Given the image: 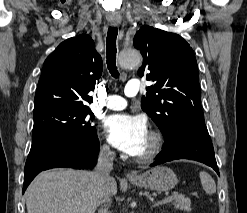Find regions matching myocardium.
<instances>
[{
  "instance_id": "1",
  "label": "myocardium",
  "mask_w": 247,
  "mask_h": 213,
  "mask_svg": "<svg viewBox=\"0 0 247 213\" xmlns=\"http://www.w3.org/2000/svg\"><path fill=\"white\" fill-rule=\"evenodd\" d=\"M149 136L151 138L149 150L144 155L136 157V161L142 164L151 163L154 161L163 149L164 140L158 131H150Z\"/></svg>"
}]
</instances>
